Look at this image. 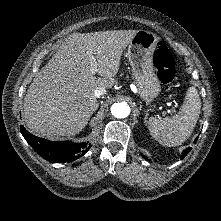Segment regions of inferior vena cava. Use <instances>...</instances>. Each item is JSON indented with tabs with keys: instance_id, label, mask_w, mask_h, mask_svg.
Listing matches in <instances>:
<instances>
[{
	"instance_id": "inferior-vena-cava-1",
	"label": "inferior vena cava",
	"mask_w": 221,
	"mask_h": 221,
	"mask_svg": "<svg viewBox=\"0 0 221 221\" xmlns=\"http://www.w3.org/2000/svg\"><path fill=\"white\" fill-rule=\"evenodd\" d=\"M106 94V89L104 87H97L94 91V96L99 98L100 96Z\"/></svg>"
}]
</instances>
